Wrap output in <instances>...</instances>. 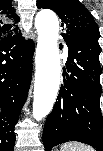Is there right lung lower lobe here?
Masks as SVG:
<instances>
[{"mask_svg": "<svg viewBox=\"0 0 103 151\" xmlns=\"http://www.w3.org/2000/svg\"><path fill=\"white\" fill-rule=\"evenodd\" d=\"M33 49L21 33L0 40V151H14V127L30 87Z\"/></svg>", "mask_w": 103, "mask_h": 151, "instance_id": "1", "label": "right lung lower lobe"}]
</instances>
